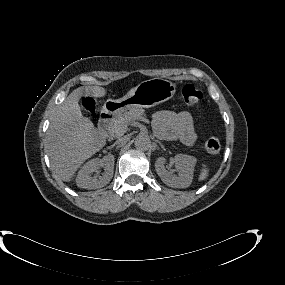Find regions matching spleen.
<instances>
[{
    "label": "spleen",
    "mask_w": 285,
    "mask_h": 285,
    "mask_svg": "<svg viewBox=\"0 0 285 285\" xmlns=\"http://www.w3.org/2000/svg\"><path fill=\"white\" fill-rule=\"evenodd\" d=\"M209 175V169L207 167H203L201 169L200 175H199V181H204L207 179Z\"/></svg>",
    "instance_id": "obj_1"
}]
</instances>
